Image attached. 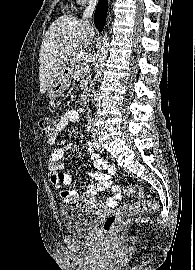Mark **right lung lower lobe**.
I'll use <instances>...</instances> for the list:
<instances>
[{
  "label": "right lung lower lobe",
  "mask_w": 195,
  "mask_h": 270,
  "mask_svg": "<svg viewBox=\"0 0 195 270\" xmlns=\"http://www.w3.org/2000/svg\"><path fill=\"white\" fill-rule=\"evenodd\" d=\"M108 4L107 0H100L97 4L96 11L94 14V24L96 28L101 32L104 28L106 21Z\"/></svg>",
  "instance_id": "1"
}]
</instances>
